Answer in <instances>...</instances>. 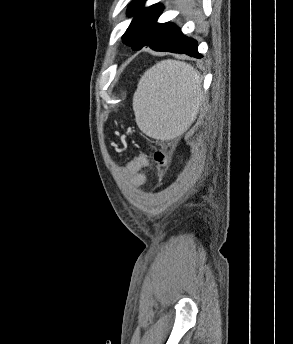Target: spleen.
I'll return each mask as SVG.
<instances>
[{
	"label": "spleen",
	"instance_id": "spleen-1",
	"mask_svg": "<svg viewBox=\"0 0 293 344\" xmlns=\"http://www.w3.org/2000/svg\"><path fill=\"white\" fill-rule=\"evenodd\" d=\"M200 73L190 64L164 60L141 77L133 97L140 130L154 139L181 135L195 120L201 99Z\"/></svg>",
	"mask_w": 293,
	"mask_h": 344
}]
</instances>
